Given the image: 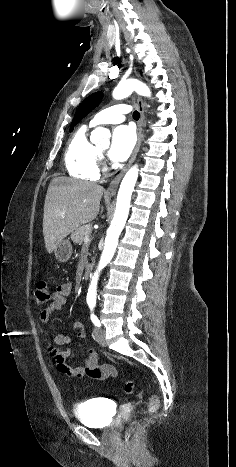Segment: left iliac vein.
<instances>
[{
    "mask_svg": "<svg viewBox=\"0 0 236 467\" xmlns=\"http://www.w3.org/2000/svg\"><path fill=\"white\" fill-rule=\"evenodd\" d=\"M94 337L101 346H106L105 331L100 327L94 328Z\"/></svg>",
    "mask_w": 236,
    "mask_h": 467,
    "instance_id": "obj_1",
    "label": "left iliac vein"
}]
</instances>
